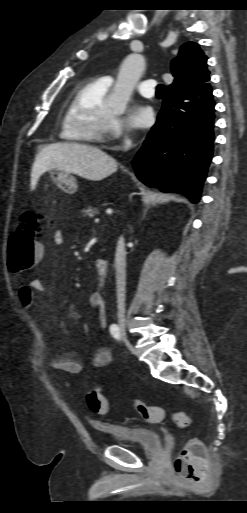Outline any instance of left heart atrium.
<instances>
[{"label":"left heart atrium","mask_w":247,"mask_h":513,"mask_svg":"<svg viewBox=\"0 0 247 513\" xmlns=\"http://www.w3.org/2000/svg\"><path fill=\"white\" fill-rule=\"evenodd\" d=\"M131 120L137 127H150L155 120V113L150 106L136 105L131 111Z\"/></svg>","instance_id":"39dd6f15"}]
</instances>
